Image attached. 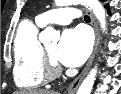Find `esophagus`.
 Returning <instances> with one entry per match:
<instances>
[{
  "label": "esophagus",
  "instance_id": "34e87169",
  "mask_svg": "<svg viewBox=\"0 0 121 94\" xmlns=\"http://www.w3.org/2000/svg\"><path fill=\"white\" fill-rule=\"evenodd\" d=\"M89 12V15H90V18H91V24L93 26V29H94V32H95V43H94V49H93V52L85 66V68L83 69V71L80 73V75L69 85L68 89H67V93L68 94H74L81 81L83 80V78L85 77L86 73L88 72L92 62H93V59L96 55V52H97V49H98V45H99V41H100V35H99V29L97 27V24L95 22V18L93 16V14L88 10Z\"/></svg>",
  "mask_w": 121,
  "mask_h": 94
}]
</instances>
